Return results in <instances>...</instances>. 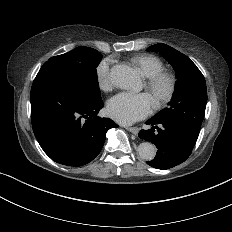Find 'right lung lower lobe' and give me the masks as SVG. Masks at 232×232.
<instances>
[{
	"mask_svg": "<svg viewBox=\"0 0 232 232\" xmlns=\"http://www.w3.org/2000/svg\"><path fill=\"white\" fill-rule=\"evenodd\" d=\"M103 101L83 96L61 66H42L31 89V121L44 152L55 162L82 166L101 151L106 132L118 125L97 116Z\"/></svg>",
	"mask_w": 232,
	"mask_h": 232,
	"instance_id": "obj_1",
	"label": "right lung lower lobe"
}]
</instances>
